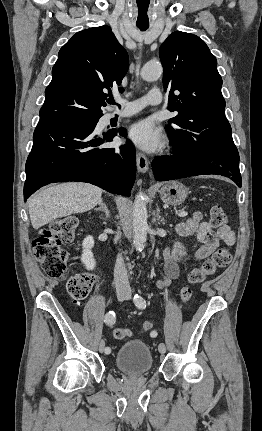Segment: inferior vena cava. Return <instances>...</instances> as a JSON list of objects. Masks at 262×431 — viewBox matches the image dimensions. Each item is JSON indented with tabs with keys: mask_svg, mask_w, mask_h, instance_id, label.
Instances as JSON below:
<instances>
[{
	"mask_svg": "<svg viewBox=\"0 0 262 431\" xmlns=\"http://www.w3.org/2000/svg\"><path fill=\"white\" fill-rule=\"evenodd\" d=\"M114 282L117 290L130 291L127 270L121 255H118L114 268Z\"/></svg>",
	"mask_w": 262,
	"mask_h": 431,
	"instance_id": "inferior-vena-cava-1",
	"label": "inferior vena cava"
}]
</instances>
